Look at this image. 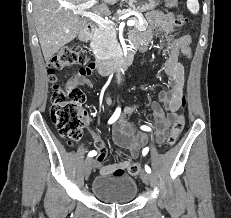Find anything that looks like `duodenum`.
<instances>
[{
  "label": "duodenum",
  "instance_id": "410a0bca",
  "mask_svg": "<svg viewBox=\"0 0 231 218\" xmlns=\"http://www.w3.org/2000/svg\"><path fill=\"white\" fill-rule=\"evenodd\" d=\"M95 32V25L88 23L79 35L81 40L89 39ZM131 54L123 50H116L111 54H104L95 63L96 71L101 75H107L119 65L128 66L131 63Z\"/></svg>",
  "mask_w": 231,
  "mask_h": 218
}]
</instances>
